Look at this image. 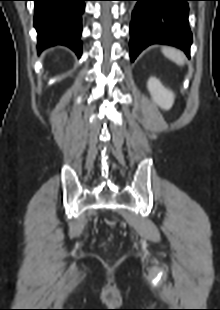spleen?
<instances>
[{
  "label": "spleen",
  "instance_id": "1",
  "mask_svg": "<svg viewBox=\"0 0 220 310\" xmlns=\"http://www.w3.org/2000/svg\"><path fill=\"white\" fill-rule=\"evenodd\" d=\"M162 53L176 64L184 65V54L181 51L171 47H163Z\"/></svg>",
  "mask_w": 220,
  "mask_h": 310
}]
</instances>
